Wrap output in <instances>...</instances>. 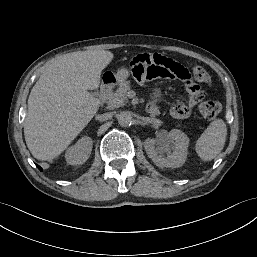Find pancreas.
<instances>
[{
    "label": "pancreas",
    "instance_id": "obj_1",
    "mask_svg": "<svg viewBox=\"0 0 257 257\" xmlns=\"http://www.w3.org/2000/svg\"><path fill=\"white\" fill-rule=\"evenodd\" d=\"M131 89L129 81H124L119 84V88L115 92H111L107 98V109H116L124 106L128 101V91Z\"/></svg>",
    "mask_w": 257,
    "mask_h": 257
}]
</instances>
